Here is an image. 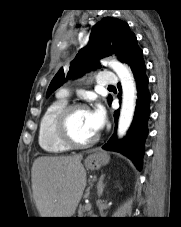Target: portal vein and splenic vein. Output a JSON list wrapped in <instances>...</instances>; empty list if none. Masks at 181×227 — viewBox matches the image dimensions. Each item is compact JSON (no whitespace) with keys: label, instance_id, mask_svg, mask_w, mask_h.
<instances>
[{"label":"portal vein and splenic vein","instance_id":"portal-vein-and-splenic-vein-1","mask_svg":"<svg viewBox=\"0 0 181 227\" xmlns=\"http://www.w3.org/2000/svg\"><path fill=\"white\" fill-rule=\"evenodd\" d=\"M85 206H86V209H87V210H90V209L92 208V205H91V203H89V202H88Z\"/></svg>","mask_w":181,"mask_h":227}]
</instances>
